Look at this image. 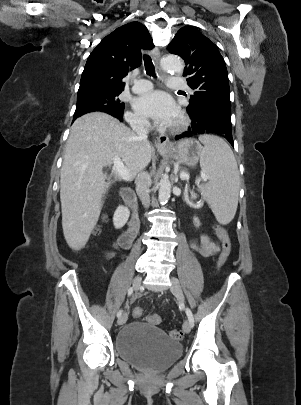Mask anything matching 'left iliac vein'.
<instances>
[{
	"label": "left iliac vein",
	"instance_id": "left-iliac-vein-1",
	"mask_svg": "<svg viewBox=\"0 0 301 405\" xmlns=\"http://www.w3.org/2000/svg\"><path fill=\"white\" fill-rule=\"evenodd\" d=\"M170 290L180 303H182V304L185 303V297H184L183 291L181 289L179 280L176 277H171ZM183 331L186 334H188L191 331V325H190L189 321H185V323L183 324Z\"/></svg>",
	"mask_w": 301,
	"mask_h": 405
}]
</instances>
